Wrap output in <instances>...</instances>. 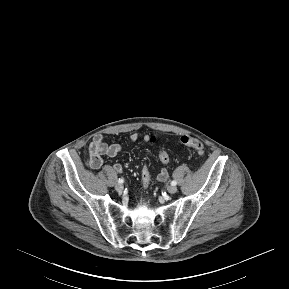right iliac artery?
Instances as JSON below:
<instances>
[{"label":"right iliac artery","instance_id":"82829eb1","mask_svg":"<svg viewBox=\"0 0 289 289\" xmlns=\"http://www.w3.org/2000/svg\"><path fill=\"white\" fill-rule=\"evenodd\" d=\"M123 182H124L123 179H119V180H118V183H119V184H122Z\"/></svg>","mask_w":289,"mask_h":289}]
</instances>
